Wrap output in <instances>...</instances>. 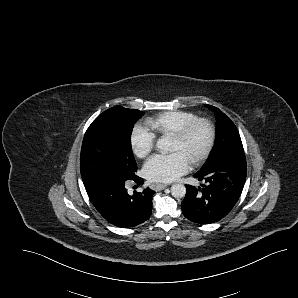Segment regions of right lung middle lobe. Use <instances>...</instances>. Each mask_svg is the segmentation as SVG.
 Returning a JSON list of instances; mask_svg holds the SVG:
<instances>
[{
	"instance_id": "obj_1",
	"label": "right lung middle lobe",
	"mask_w": 298,
	"mask_h": 298,
	"mask_svg": "<svg viewBox=\"0 0 298 298\" xmlns=\"http://www.w3.org/2000/svg\"><path fill=\"white\" fill-rule=\"evenodd\" d=\"M143 112L121 106L101 113L87 129L81 148L84 186L126 181L137 171L130 139Z\"/></svg>"
}]
</instances>
